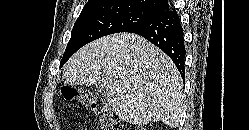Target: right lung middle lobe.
<instances>
[{
	"label": "right lung middle lobe",
	"instance_id": "dd1d6c3e",
	"mask_svg": "<svg viewBox=\"0 0 249 130\" xmlns=\"http://www.w3.org/2000/svg\"><path fill=\"white\" fill-rule=\"evenodd\" d=\"M157 17L156 12L131 5L108 2L85 5L74 24L60 67L85 44L109 34L126 32Z\"/></svg>",
	"mask_w": 249,
	"mask_h": 130
}]
</instances>
